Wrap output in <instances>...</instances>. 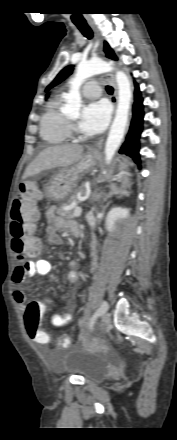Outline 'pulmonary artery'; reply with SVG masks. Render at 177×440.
<instances>
[{
  "label": "pulmonary artery",
  "mask_w": 177,
  "mask_h": 440,
  "mask_svg": "<svg viewBox=\"0 0 177 440\" xmlns=\"http://www.w3.org/2000/svg\"><path fill=\"white\" fill-rule=\"evenodd\" d=\"M100 83L96 80L88 81L82 87V93L86 98L94 99L101 95Z\"/></svg>",
  "instance_id": "obj_1"
}]
</instances>
